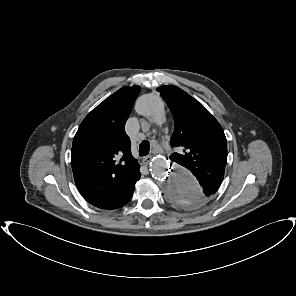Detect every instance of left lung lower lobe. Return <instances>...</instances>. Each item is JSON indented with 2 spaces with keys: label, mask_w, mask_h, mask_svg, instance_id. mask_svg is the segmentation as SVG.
I'll return each mask as SVG.
<instances>
[{
  "label": "left lung lower lobe",
  "mask_w": 296,
  "mask_h": 296,
  "mask_svg": "<svg viewBox=\"0 0 296 296\" xmlns=\"http://www.w3.org/2000/svg\"><path fill=\"white\" fill-rule=\"evenodd\" d=\"M221 184V183H220ZM220 184L216 185L215 187H213V190L216 192L218 187L220 186Z\"/></svg>",
  "instance_id": "obj_1"
}]
</instances>
